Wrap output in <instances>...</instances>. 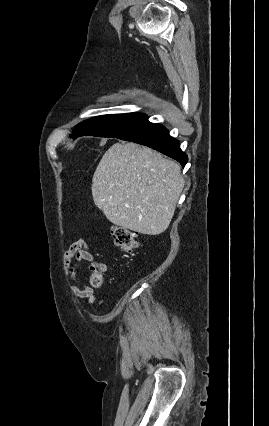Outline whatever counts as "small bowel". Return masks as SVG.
<instances>
[{
  "label": "small bowel",
  "instance_id": "obj_1",
  "mask_svg": "<svg viewBox=\"0 0 269 426\" xmlns=\"http://www.w3.org/2000/svg\"><path fill=\"white\" fill-rule=\"evenodd\" d=\"M83 262H89L90 267L96 263L90 247L84 239L73 242L64 254V271L67 278L74 284L71 291L79 299L87 300L89 306L96 300L95 287L82 283L77 276V269Z\"/></svg>",
  "mask_w": 269,
  "mask_h": 426
}]
</instances>
